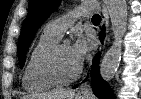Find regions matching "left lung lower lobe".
<instances>
[{
  "label": "left lung lower lobe",
  "mask_w": 141,
  "mask_h": 99,
  "mask_svg": "<svg viewBox=\"0 0 141 99\" xmlns=\"http://www.w3.org/2000/svg\"><path fill=\"white\" fill-rule=\"evenodd\" d=\"M103 32H104V27L102 28V34ZM101 39H103V36L101 37ZM98 59H99V56L97 55L94 58V62L92 65V71H91V83H92L93 92L100 99H114L109 86L101 78L99 74ZM76 87L77 85L74 86L73 88H76Z\"/></svg>",
  "instance_id": "left-lung-lower-lobe-1"
}]
</instances>
